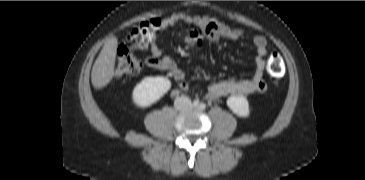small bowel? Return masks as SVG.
<instances>
[{
  "mask_svg": "<svg viewBox=\"0 0 365 180\" xmlns=\"http://www.w3.org/2000/svg\"><path fill=\"white\" fill-rule=\"evenodd\" d=\"M179 23L194 25L196 28L180 34L186 44L199 46L203 41H216L220 38L232 40L244 36V31L228 26L206 16H192L185 13H174L171 16L160 20V29L165 30L176 26ZM253 45L256 51L255 72L251 79L245 80H225L209 85L206 95L209 99L215 100L231 95L253 96L264 93L267 84L264 80L267 55V41L262 35L253 37ZM151 56L146 57L144 62L147 66L169 72L172 77L179 82L180 88L187 90L189 85L185 82V73L178 67L177 63L169 56L165 55L158 45L157 37L149 42Z\"/></svg>",
  "mask_w": 365,
  "mask_h": 180,
  "instance_id": "obj_1",
  "label": "small bowel"
}]
</instances>
